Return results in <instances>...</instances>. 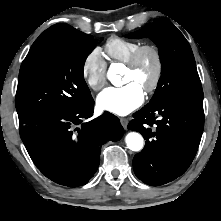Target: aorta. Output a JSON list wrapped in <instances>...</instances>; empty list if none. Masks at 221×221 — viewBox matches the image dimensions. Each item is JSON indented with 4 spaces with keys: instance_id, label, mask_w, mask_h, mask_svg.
<instances>
[{
    "instance_id": "obj_1",
    "label": "aorta",
    "mask_w": 221,
    "mask_h": 221,
    "mask_svg": "<svg viewBox=\"0 0 221 221\" xmlns=\"http://www.w3.org/2000/svg\"><path fill=\"white\" fill-rule=\"evenodd\" d=\"M119 72H120L119 64H112L107 72L108 79L112 84L116 86L121 82V77L119 75ZM125 142L127 147L132 151H140L144 146V139L141 136V134L137 132L128 133L125 137Z\"/></svg>"
}]
</instances>
